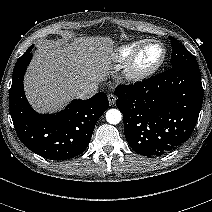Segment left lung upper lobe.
Segmentation results:
<instances>
[{"label":"left lung upper lobe","mask_w":212,"mask_h":212,"mask_svg":"<svg viewBox=\"0 0 212 212\" xmlns=\"http://www.w3.org/2000/svg\"><path fill=\"white\" fill-rule=\"evenodd\" d=\"M172 46L171 68L188 65L198 64L194 56L175 38L169 37Z\"/></svg>","instance_id":"left-lung-upper-lobe-1"}]
</instances>
